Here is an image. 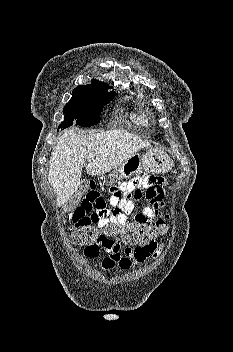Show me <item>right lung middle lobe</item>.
<instances>
[{
	"mask_svg": "<svg viewBox=\"0 0 233 352\" xmlns=\"http://www.w3.org/2000/svg\"><path fill=\"white\" fill-rule=\"evenodd\" d=\"M115 96V92H107L97 87H87L73 94L64 106V121L59 128L64 129L73 124L90 127L99 122L101 110Z\"/></svg>",
	"mask_w": 233,
	"mask_h": 352,
	"instance_id": "right-lung-middle-lobe-1",
	"label": "right lung middle lobe"
}]
</instances>
